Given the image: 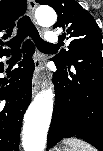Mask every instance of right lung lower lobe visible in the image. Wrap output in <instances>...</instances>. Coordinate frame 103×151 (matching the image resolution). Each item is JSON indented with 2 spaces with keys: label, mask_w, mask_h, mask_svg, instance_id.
Listing matches in <instances>:
<instances>
[{
  "label": "right lung lower lobe",
  "mask_w": 103,
  "mask_h": 151,
  "mask_svg": "<svg viewBox=\"0 0 103 151\" xmlns=\"http://www.w3.org/2000/svg\"><path fill=\"white\" fill-rule=\"evenodd\" d=\"M26 53L18 63L10 80L0 78V150L19 151V133L23 115L31 101L32 74L34 62L31 58L34 46L30 41L23 45ZM8 55V51H1L0 58ZM4 68L0 62V71ZM9 85H6L8 84ZM5 85V86H4Z\"/></svg>",
  "instance_id": "1"
}]
</instances>
